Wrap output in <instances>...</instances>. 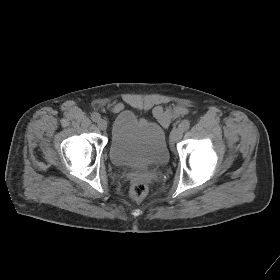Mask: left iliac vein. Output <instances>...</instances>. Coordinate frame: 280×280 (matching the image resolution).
<instances>
[{"instance_id": "obj_1", "label": "left iliac vein", "mask_w": 280, "mask_h": 280, "mask_svg": "<svg viewBox=\"0 0 280 280\" xmlns=\"http://www.w3.org/2000/svg\"><path fill=\"white\" fill-rule=\"evenodd\" d=\"M183 136V130L178 127V128H174L172 131H171V134H170V140L171 142L175 143V142H178Z\"/></svg>"}]
</instances>
